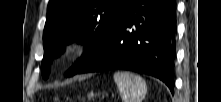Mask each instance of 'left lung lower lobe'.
I'll return each mask as SVG.
<instances>
[{
    "label": "left lung lower lobe",
    "mask_w": 221,
    "mask_h": 102,
    "mask_svg": "<svg viewBox=\"0 0 221 102\" xmlns=\"http://www.w3.org/2000/svg\"><path fill=\"white\" fill-rule=\"evenodd\" d=\"M174 0H128L112 33L76 74L125 69L162 80L173 93Z\"/></svg>",
    "instance_id": "0a47b994"
}]
</instances>
